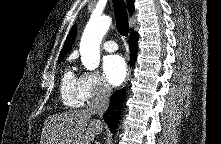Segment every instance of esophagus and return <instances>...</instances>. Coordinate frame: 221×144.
I'll return each mask as SVG.
<instances>
[{"label":"esophagus","instance_id":"34e87169","mask_svg":"<svg viewBox=\"0 0 221 144\" xmlns=\"http://www.w3.org/2000/svg\"><path fill=\"white\" fill-rule=\"evenodd\" d=\"M130 74H131V71L129 70L128 71V74H127V77H126V80H125V84L128 82L129 78H130Z\"/></svg>","mask_w":221,"mask_h":144}]
</instances>
